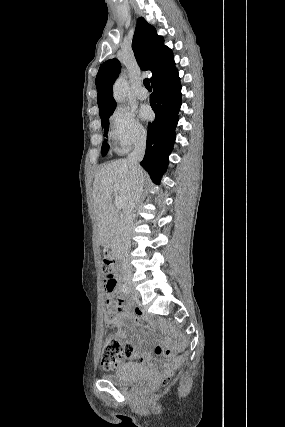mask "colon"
I'll list each match as a JSON object with an SVG mask.
<instances>
[{"label": "colon", "instance_id": "colon-1", "mask_svg": "<svg viewBox=\"0 0 285 427\" xmlns=\"http://www.w3.org/2000/svg\"><path fill=\"white\" fill-rule=\"evenodd\" d=\"M101 268L104 274V285L107 293L105 299L106 307V326L108 328H115L117 326V316L122 307V299L117 293L118 281L113 274V261L105 257L101 261ZM137 313H141L139 309ZM132 345L129 341L118 338L115 334H109L101 351V364L106 369L114 368L117 363L125 356L132 353ZM175 351V350H174ZM157 355L171 357L173 350L157 347L155 349ZM169 384L168 374L162 379L161 386L167 387Z\"/></svg>", "mask_w": 285, "mask_h": 427}]
</instances>
